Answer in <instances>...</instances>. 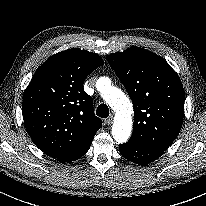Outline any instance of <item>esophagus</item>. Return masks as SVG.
Instances as JSON below:
<instances>
[{"mask_svg":"<svg viewBox=\"0 0 206 206\" xmlns=\"http://www.w3.org/2000/svg\"><path fill=\"white\" fill-rule=\"evenodd\" d=\"M106 125H111L113 123V117H108L104 120Z\"/></svg>","mask_w":206,"mask_h":206,"instance_id":"esophagus-1","label":"esophagus"}]
</instances>
